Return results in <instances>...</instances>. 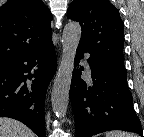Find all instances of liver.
<instances>
[{
    "mask_svg": "<svg viewBox=\"0 0 144 137\" xmlns=\"http://www.w3.org/2000/svg\"><path fill=\"white\" fill-rule=\"evenodd\" d=\"M0 137H35V134L17 120L0 117Z\"/></svg>",
    "mask_w": 144,
    "mask_h": 137,
    "instance_id": "1",
    "label": "liver"
}]
</instances>
